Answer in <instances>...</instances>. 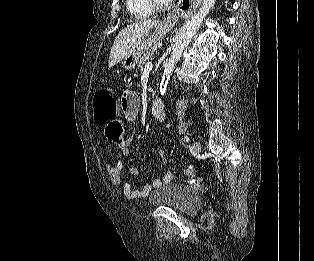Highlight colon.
<instances>
[{
  "label": "colon",
  "instance_id": "1",
  "mask_svg": "<svg viewBox=\"0 0 314 261\" xmlns=\"http://www.w3.org/2000/svg\"><path fill=\"white\" fill-rule=\"evenodd\" d=\"M94 119L97 124L104 125L105 120H119L117 101L107 91L99 90L95 93L93 99ZM185 173L193 177L192 168H187Z\"/></svg>",
  "mask_w": 314,
  "mask_h": 261
}]
</instances>
